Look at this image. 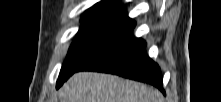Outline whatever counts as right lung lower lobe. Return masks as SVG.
Listing matches in <instances>:
<instances>
[{"label": "right lung lower lobe", "instance_id": "obj_1", "mask_svg": "<svg viewBox=\"0 0 221 102\" xmlns=\"http://www.w3.org/2000/svg\"><path fill=\"white\" fill-rule=\"evenodd\" d=\"M134 27L135 24L87 60L75 72L88 70L117 74L149 83L165 94L160 67L148 57L146 42L133 36ZM69 77L59 80L56 88H59Z\"/></svg>", "mask_w": 221, "mask_h": 102}]
</instances>
